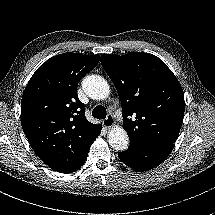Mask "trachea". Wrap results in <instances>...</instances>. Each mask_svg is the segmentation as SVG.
<instances>
[{
	"label": "trachea",
	"instance_id": "3493384b",
	"mask_svg": "<svg viewBox=\"0 0 215 215\" xmlns=\"http://www.w3.org/2000/svg\"><path fill=\"white\" fill-rule=\"evenodd\" d=\"M106 109L103 106H96L92 111V116L97 119H104L106 118Z\"/></svg>",
	"mask_w": 215,
	"mask_h": 215
}]
</instances>
